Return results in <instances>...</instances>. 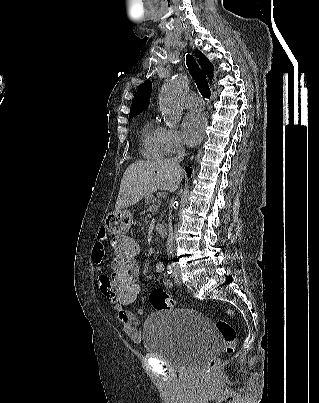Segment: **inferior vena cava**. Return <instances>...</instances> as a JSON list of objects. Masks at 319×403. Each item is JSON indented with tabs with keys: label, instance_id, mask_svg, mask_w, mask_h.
Listing matches in <instances>:
<instances>
[{
	"label": "inferior vena cava",
	"instance_id": "1",
	"mask_svg": "<svg viewBox=\"0 0 319 403\" xmlns=\"http://www.w3.org/2000/svg\"><path fill=\"white\" fill-rule=\"evenodd\" d=\"M184 156H185V149L183 148L182 145H180L178 150H177V155L174 158L171 159L172 166H174L175 168L179 169L180 168L179 163L184 159ZM173 246H174V243H173V229H172V226L170 224L169 235H168V239H167V249L169 251H172Z\"/></svg>",
	"mask_w": 319,
	"mask_h": 403
}]
</instances>
